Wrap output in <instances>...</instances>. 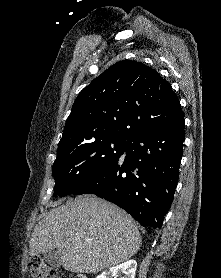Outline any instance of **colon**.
Here are the masks:
<instances>
[{
	"mask_svg": "<svg viewBox=\"0 0 221 278\" xmlns=\"http://www.w3.org/2000/svg\"><path fill=\"white\" fill-rule=\"evenodd\" d=\"M29 267L35 278H62L57 269L48 265L42 258H30Z\"/></svg>",
	"mask_w": 221,
	"mask_h": 278,
	"instance_id": "1",
	"label": "colon"
}]
</instances>
